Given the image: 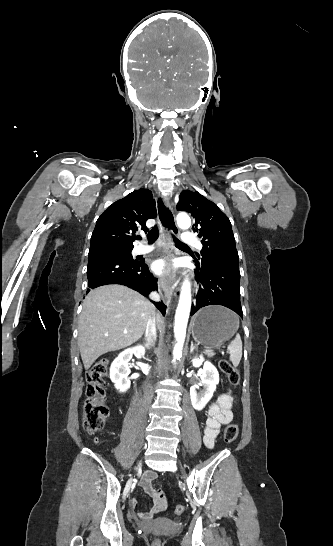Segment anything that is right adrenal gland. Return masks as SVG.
I'll list each match as a JSON object with an SVG mask.
<instances>
[{"label":"right adrenal gland","instance_id":"obj_1","mask_svg":"<svg viewBox=\"0 0 333 546\" xmlns=\"http://www.w3.org/2000/svg\"><path fill=\"white\" fill-rule=\"evenodd\" d=\"M153 345H154V343H152V344H147L146 347H147V349H150Z\"/></svg>","mask_w":333,"mask_h":546}]
</instances>
